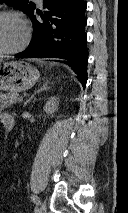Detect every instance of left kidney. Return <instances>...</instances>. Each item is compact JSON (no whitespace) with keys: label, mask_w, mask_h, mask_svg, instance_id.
<instances>
[{"label":"left kidney","mask_w":128,"mask_h":213,"mask_svg":"<svg viewBox=\"0 0 128 213\" xmlns=\"http://www.w3.org/2000/svg\"><path fill=\"white\" fill-rule=\"evenodd\" d=\"M58 105H59V102L57 101V98L56 97H51L45 104L44 106V111L47 113V114H52L54 113L55 111L58 110Z\"/></svg>","instance_id":"obj_1"}]
</instances>
